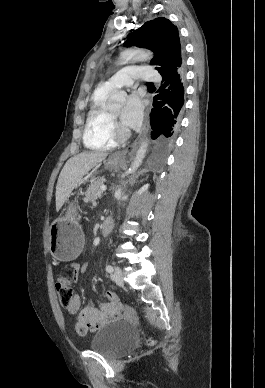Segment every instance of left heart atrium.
Wrapping results in <instances>:
<instances>
[{"mask_svg": "<svg viewBox=\"0 0 265 388\" xmlns=\"http://www.w3.org/2000/svg\"><path fill=\"white\" fill-rule=\"evenodd\" d=\"M143 105L138 94L132 93L127 97L121 114L122 122L128 127H135L142 119Z\"/></svg>", "mask_w": 265, "mask_h": 388, "instance_id": "obj_1", "label": "left heart atrium"}]
</instances>
